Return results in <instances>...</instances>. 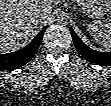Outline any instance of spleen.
Masks as SVG:
<instances>
[{
  "label": "spleen",
  "instance_id": "1",
  "mask_svg": "<svg viewBox=\"0 0 111 106\" xmlns=\"http://www.w3.org/2000/svg\"><path fill=\"white\" fill-rule=\"evenodd\" d=\"M89 31L102 47L111 50V23L94 21L89 24Z\"/></svg>",
  "mask_w": 111,
  "mask_h": 106
}]
</instances>
